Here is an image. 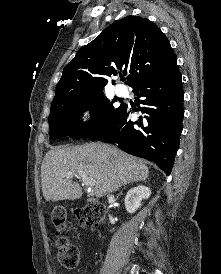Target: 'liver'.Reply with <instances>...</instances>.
<instances>
[{
	"mask_svg": "<svg viewBox=\"0 0 221 274\" xmlns=\"http://www.w3.org/2000/svg\"><path fill=\"white\" fill-rule=\"evenodd\" d=\"M84 172L95 180L94 192L100 198L117 191L122 185L144 181L148 167L118 148L101 142L86 143L48 151L41 165L42 192L46 201L76 200L82 188L69 172Z\"/></svg>",
	"mask_w": 221,
	"mask_h": 274,
	"instance_id": "6515ba94",
	"label": "liver"
}]
</instances>
